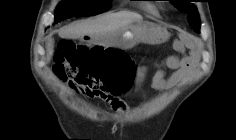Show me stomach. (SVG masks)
<instances>
[{"label": "stomach", "instance_id": "obj_1", "mask_svg": "<svg viewBox=\"0 0 236 140\" xmlns=\"http://www.w3.org/2000/svg\"><path fill=\"white\" fill-rule=\"evenodd\" d=\"M168 31L163 26L151 21L134 22L127 29L107 31V36H94L99 44L124 49L132 48L140 42L159 44L167 40Z\"/></svg>", "mask_w": 236, "mask_h": 140}]
</instances>
